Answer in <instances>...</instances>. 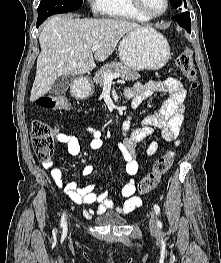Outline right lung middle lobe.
<instances>
[{"label":"right lung middle lobe","mask_w":221,"mask_h":263,"mask_svg":"<svg viewBox=\"0 0 221 263\" xmlns=\"http://www.w3.org/2000/svg\"><path fill=\"white\" fill-rule=\"evenodd\" d=\"M82 3L83 0H41L38 7V18L74 11L80 8Z\"/></svg>","instance_id":"dd1d6c3e"}]
</instances>
